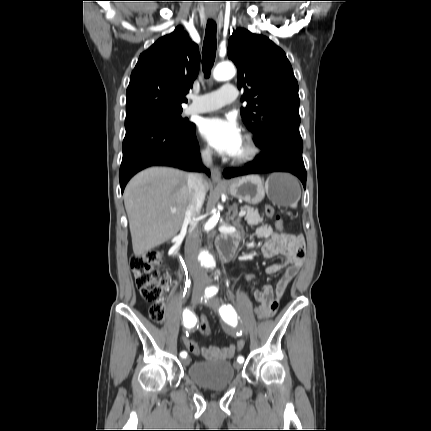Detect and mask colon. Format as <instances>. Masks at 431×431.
Listing matches in <instances>:
<instances>
[{"mask_svg": "<svg viewBox=\"0 0 431 431\" xmlns=\"http://www.w3.org/2000/svg\"><path fill=\"white\" fill-rule=\"evenodd\" d=\"M265 213L268 217L275 216V223L278 229L283 228V219H277L275 215V209L271 205L265 207ZM161 261L160 254L156 251H149L143 255L133 256L130 260V267L135 278V284L137 289L140 291L144 300L149 302L150 318L156 322L161 323L165 317V306L161 300L164 289L170 284L171 277L168 273H162L159 267ZM253 312L256 317H261V312L258 307H253ZM200 321V331L204 335L210 333L209 319L206 317V313L200 311L198 313ZM182 345L185 346V350L189 351L190 354H201V349L196 348L197 341L194 338H190L188 333H183L180 336ZM247 341L244 338H239L237 341V355H241L244 352V346Z\"/></svg>", "mask_w": 431, "mask_h": 431, "instance_id": "5ec220e1", "label": "colon"}]
</instances>
